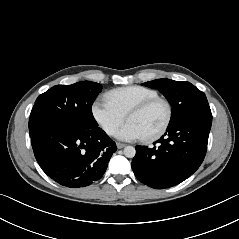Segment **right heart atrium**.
Wrapping results in <instances>:
<instances>
[{
    "label": "right heart atrium",
    "mask_w": 239,
    "mask_h": 239,
    "mask_svg": "<svg viewBox=\"0 0 239 239\" xmlns=\"http://www.w3.org/2000/svg\"><path fill=\"white\" fill-rule=\"evenodd\" d=\"M92 115L98 125L108 135H114L126 117L105 97L94 101L92 104Z\"/></svg>",
    "instance_id": "d8ad5b80"
}]
</instances>
